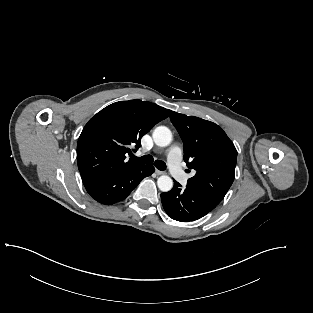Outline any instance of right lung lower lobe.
Returning a JSON list of instances; mask_svg holds the SVG:
<instances>
[{
	"label": "right lung lower lobe",
	"instance_id": "98d812e1",
	"mask_svg": "<svg viewBox=\"0 0 313 313\" xmlns=\"http://www.w3.org/2000/svg\"><path fill=\"white\" fill-rule=\"evenodd\" d=\"M155 171L151 165H142L134 170L114 175L83 180L89 195L96 201L110 205L125 199L140 181Z\"/></svg>",
	"mask_w": 313,
	"mask_h": 313
}]
</instances>
